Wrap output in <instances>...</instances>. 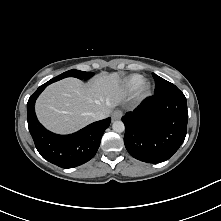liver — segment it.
<instances>
[{"instance_id":"1","label":"liver","mask_w":221,"mask_h":221,"mask_svg":"<svg viewBox=\"0 0 221 221\" xmlns=\"http://www.w3.org/2000/svg\"><path fill=\"white\" fill-rule=\"evenodd\" d=\"M124 96L117 73L97 75L88 84L66 78L44 90L37 99L36 114L47 129L67 134L93 122V112L107 111L109 115Z\"/></svg>"}]
</instances>
